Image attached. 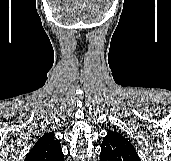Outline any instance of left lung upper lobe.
I'll use <instances>...</instances> for the list:
<instances>
[{
    "label": "left lung upper lobe",
    "instance_id": "5c2ea615",
    "mask_svg": "<svg viewBox=\"0 0 171 161\" xmlns=\"http://www.w3.org/2000/svg\"><path fill=\"white\" fill-rule=\"evenodd\" d=\"M100 161H141L135 148L120 133L109 130L101 144Z\"/></svg>",
    "mask_w": 171,
    "mask_h": 161
}]
</instances>
